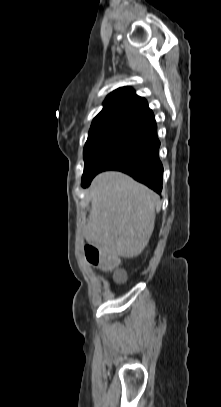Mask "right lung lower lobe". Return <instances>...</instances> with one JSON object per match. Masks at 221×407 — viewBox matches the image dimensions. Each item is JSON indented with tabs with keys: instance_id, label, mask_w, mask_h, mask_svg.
<instances>
[{
	"instance_id": "1",
	"label": "right lung lower lobe",
	"mask_w": 221,
	"mask_h": 407,
	"mask_svg": "<svg viewBox=\"0 0 221 407\" xmlns=\"http://www.w3.org/2000/svg\"><path fill=\"white\" fill-rule=\"evenodd\" d=\"M159 147L157 126L153 118L129 136L110 155L96 174L106 170L122 171L160 193L163 166L158 155ZM94 176L84 182L82 186H89Z\"/></svg>"
}]
</instances>
